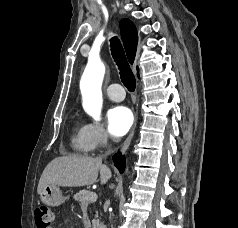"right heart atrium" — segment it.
<instances>
[{
  "label": "right heart atrium",
  "instance_id": "obj_1",
  "mask_svg": "<svg viewBox=\"0 0 238 228\" xmlns=\"http://www.w3.org/2000/svg\"><path fill=\"white\" fill-rule=\"evenodd\" d=\"M84 131L91 150L104 148L109 144V135L101 123L89 122L84 125Z\"/></svg>",
  "mask_w": 238,
  "mask_h": 228
}]
</instances>
